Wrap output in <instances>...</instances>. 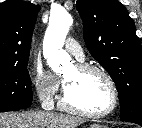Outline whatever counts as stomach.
I'll return each instance as SVG.
<instances>
[{
	"label": "stomach",
	"instance_id": "0dacf381",
	"mask_svg": "<svg viewBox=\"0 0 142 128\" xmlns=\"http://www.w3.org/2000/svg\"><path fill=\"white\" fill-rule=\"evenodd\" d=\"M89 128H106V127L103 125H100V124H92V125H90Z\"/></svg>",
	"mask_w": 142,
	"mask_h": 128
}]
</instances>
